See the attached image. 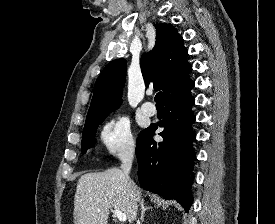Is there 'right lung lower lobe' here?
Instances as JSON below:
<instances>
[{"instance_id":"right-lung-lower-lobe-1","label":"right lung lower lobe","mask_w":275,"mask_h":224,"mask_svg":"<svg viewBox=\"0 0 275 224\" xmlns=\"http://www.w3.org/2000/svg\"><path fill=\"white\" fill-rule=\"evenodd\" d=\"M194 85V81L189 79L168 94L165 97V118L142 131L136 142L141 186L165 199H176L187 212L193 202L190 188L196 158L192 148L196 135L191 127L195 121L191 112L195 99L190 93ZM158 127H164L159 133L162 142L153 140Z\"/></svg>"}]
</instances>
